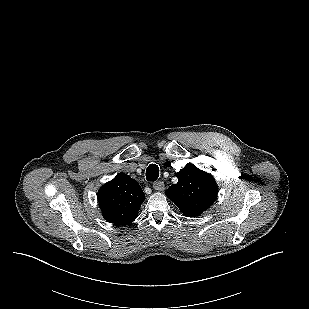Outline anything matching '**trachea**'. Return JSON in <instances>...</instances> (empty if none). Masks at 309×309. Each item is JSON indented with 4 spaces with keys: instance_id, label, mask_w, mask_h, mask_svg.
<instances>
[{
    "instance_id": "3493384b",
    "label": "trachea",
    "mask_w": 309,
    "mask_h": 309,
    "mask_svg": "<svg viewBox=\"0 0 309 309\" xmlns=\"http://www.w3.org/2000/svg\"><path fill=\"white\" fill-rule=\"evenodd\" d=\"M159 177V168L156 164H151L147 167L146 178L148 181H155Z\"/></svg>"
}]
</instances>
